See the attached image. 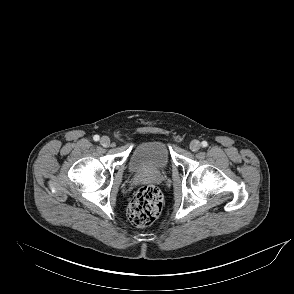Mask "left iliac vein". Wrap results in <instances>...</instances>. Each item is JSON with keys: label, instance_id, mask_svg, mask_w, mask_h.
I'll return each instance as SVG.
<instances>
[{"label": "left iliac vein", "instance_id": "left-iliac-vein-1", "mask_svg": "<svg viewBox=\"0 0 294 294\" xmlns=\"http://www.w3.org/2000/svg\"><path fill=\"white\" fill-rule=\"evenodd\" d=\"M201 148V144L198 140H193L191 143H190V149L193 151V152H197L199 149Z\"/></svg>", "mask_w": 294, "mask_h": 294}]
</instances>
